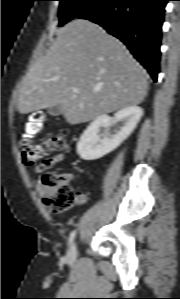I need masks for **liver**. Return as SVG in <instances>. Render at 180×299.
Segmentation results:
<instances>
[{
    "mask_svg": "<svg viewBox=\"0 0 180 299\" xmlns=\"http://www.w3.org/2000/svg\"><path fill=\"white\" fill-rule=\"evenodd\" d=\"M147 88L146 71L122 42L99 25L77 19L58 31L28 71L17 108L28 114L60 105L66 121L75 125L140 104Z\"/></svg>",
    "mask_w": 180,
    "mask_h": 299,
    "instance_id": "6515ba94",
    "label": "liver"
}]
</instances>
